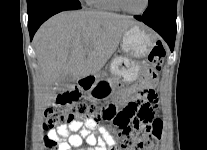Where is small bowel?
Wrapping results in <instances>:
<instances>
[{"mask_svg": "<svg viewBox=\"0 0 207 150\" xmlns=\"http://www.w3.org/2000/svg\"><path fill=\"white\" fill-rule=\"evenodd\" d=\"M152 83L148 80L145 82L147 86H152ZM121 99L129 101L128 95H123ZM46 137L57 140L59 150H112L117 144L108 127L100 126L94 132L92 126L82 123L77 118H72L67 124L49 130Z\"/></svg>", "mask_w": 207, "mask_h": 150, "instance_id": "small-bowel-1", "label": "small bowel"}]
</instances>
